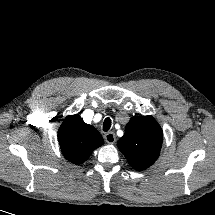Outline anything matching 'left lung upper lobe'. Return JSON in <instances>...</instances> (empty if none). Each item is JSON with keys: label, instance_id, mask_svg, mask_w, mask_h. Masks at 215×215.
Masks as SVG:
<instances>
[{"label": "left lung upper lobe", "instance_id": "obj_1", "mask_svg": "<svg viewBox=\"0 0 215 215\" xmlns=\"http://www.w3.org/2000/svg\"><path fill=\"white\" fill-rule=\"evenodd\" d=\"M163 132L152 116H134L118 141L119 150L137 171L150 167L159 157Z\"/></svg>", "mask_w": 215, "mask_h": 215}]
</instances>
